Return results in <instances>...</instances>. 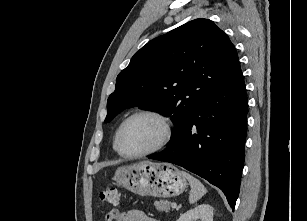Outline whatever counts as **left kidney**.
<instances>
[{
    "instance_id": "5707ae66",
    "label": "left kidney",
    "mask_w": 307,
    "mask_h": 221,
    "mask_svg": "<svg viewBox=\"0 0 307 221\" xmlns=\"http://www.w3.org/2000/svg\"><path fill=\"white\" fill-rule=\"evenodd\" d=\"M177 221H213V208L209 204H201L181 214Z\"/></svg>"
}]
</instances>
